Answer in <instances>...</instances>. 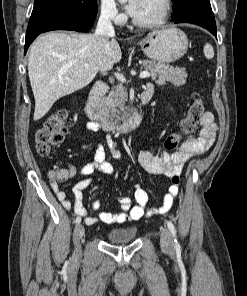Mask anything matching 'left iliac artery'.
Returning <instances> with one entry per match:
<instances>
[{
	"label": "left iliac artery",
	"instance_id": "1",
	"mask_svg": "<svg viewBox=\"0 0 247 296\" xmlns=\"http://www.w3.org/2000/svg\"><path fill=\"white\" fill-rule=\"evenodd\" d=\"M167 226H168V229L170 230V232H171V234H172V236L174 238L175 246L178 247L179 243H178V241L176 239V230H175V227H174L173 223L171 221H167Z\"/></svg>",
	"mask_w": 247,
	"mask_h": 296
}]
</instances>
